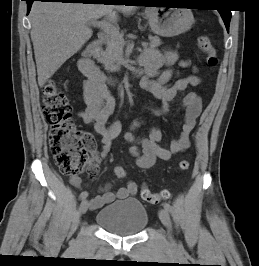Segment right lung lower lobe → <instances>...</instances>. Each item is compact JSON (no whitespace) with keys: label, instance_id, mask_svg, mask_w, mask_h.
Instances as JSON below:
<instances>
[{"label":"right lung lower lobe","instance_id":"right-lung-lower-lobe-1","mask_svg":"<svg viewBox=\"0 0 259 266\" xmlns=\"http://www.w3.org/2000/svg\"><path fill=\"white\" fill-rule=\"evenodd\" d=\"M27 1V13L30 12L31 5L34 1L42 2H62V3H84V4H106V3H119L120 0H24Z\"/></svg>","mask_w":259,"mask_h":266}]
</instances>
